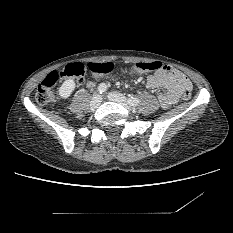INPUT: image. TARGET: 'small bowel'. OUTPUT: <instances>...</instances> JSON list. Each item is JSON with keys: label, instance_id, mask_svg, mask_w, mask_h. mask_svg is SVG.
Returning <instances> with one entry per match:
<instances>
[{"label": "small bowel", "instance_id": "c3829d8e", "mask_svg": "<svg viewBox=\"0 0 233 233\" xmlns=\"http://www.w3.org/2000/svg\"><path fill=\"white\" fill-rule=\"evenodd\" d=\"M132 72H137L132 70ZM63 79H69L63 75ZM77 83L82 82L77 79ZM146 87L152 91L163 89L158 95V101L163 109H168L176 103L184 90H192V85L186 75L171 66H163L159 71L152 73L146 78Z\"/></svg>", "mask_w": 233, "mask_h": 233}]
</instances>
